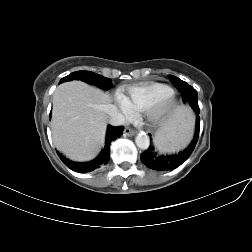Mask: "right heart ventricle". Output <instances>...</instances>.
Returning a JSON list of instances; mask_svg holds the SVG:
<instances>
[{
  "label": "right heart ventricle",
  "instance_id": "obj_1",
  "mask_svg": "<svg viewBox=\"0 0 252 252\" xmlns=\"http://www.w3.org/2000/svg\"><path fill=\"white\" fill-rule=\"evenodd\" d=\"M172 89L163 83L145 82L132 86H123L118 89V94L123 96L134 111H143L151 102L169 95Z\"/></svg>",
  "mask_w": 252,
  "mask_h": 252
}]
</instances>
